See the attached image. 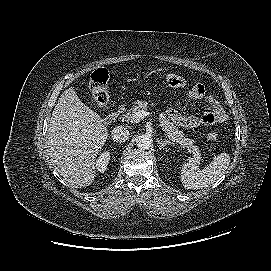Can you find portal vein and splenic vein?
I'll return each mask as SVG.
<instances>
[{
    "label": "portal vein and splenic vein",
    "instance_id": "obj_1",
    "mask_svg": "<svg viewBox=\"0 0 271 271\" xmlns=\"http://www.w3.org/2000/svg\"><path fill=\"white\" fill-rule=\"evenodd\" d=\"M146 116H152L151 113L147 112L146 110H139L133 116V123H137L140 120L144 119Z\"/></svg>",
    "mask_w": 271,
    "mask_h": 271
}]
</instances>
